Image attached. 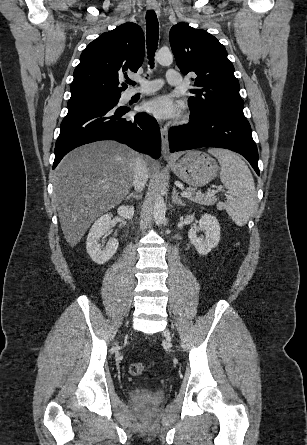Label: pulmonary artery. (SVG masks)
<instances>
[{
	"mask_svg": "<svg viewBox=\"0 0 307 445\" xmlns=\"http://www.w3.org/2000/svg\"><path fill=\"white\" fill-rule=\"evenodd\" d=\"M165 78L168 84H175L176 90H187L188 82L186 81V77L181 75L180 69H166L163 73H160L155 79H163ZM162 84L158 81H151L148 83L147 81H140L138 83V88L143 90L141 93L144 95L151 94L158 90Z\"/></svg>",
	"mask_w": 307,
	"mask_h": 445,
	"instance_id": "pulmonary-artery-1",
	"label": "pulmonary artery"
}]
</instances>
